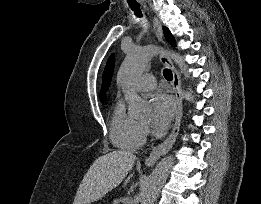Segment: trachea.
Returning a JSON list of instances; mask_svg holds the SVG:
<instances>
[{"label": "trachea", "instance_id": "3493384b", "mask_svg": "<svg viewBox=\"0 0 261 204\" xmlns=\"http://www.w3.org/2000/svg\"><path fill=\"white\" fill-rule=\"evenodd\" d=\"M129 6H130L131 10L134 11V14L137 17H142V13H141L139 5L129 4ZM163 75L166 78V80H168V81H171L173 79V74H172V71L170 69H164Z\"/></svg>", "mask_w": 261, "mask_h": 204}]
</instances>
